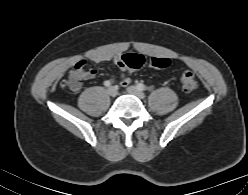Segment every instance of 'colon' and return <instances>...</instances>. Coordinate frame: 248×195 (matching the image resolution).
Listing matches in <instances>:
<instances>
[{
    "label": "colon",
    "instance_id": "1",
    "mask_svg": "<svg viewBox=\"0 0 248 195\" xmlns=\"http://www.w3.org/2000/svg\"><path fill=\"white\" fill-rule=\"evenodd\" d=\"M120 62L126 69H137L142 67L145 63L157 69H166L170 66L171 61L164 57H145L141 54L126 53L120 56ZM84 63H77L69 72L68 77L61 83L63 88L70 90H78L83 79ZM181 86L184 92L192 93L196 90L198 82L195 74L186 70L181 76Z\"/></svg>",
    "mask_w": 248,
    "mask_h": 195
}]
</instances>
